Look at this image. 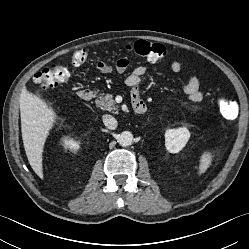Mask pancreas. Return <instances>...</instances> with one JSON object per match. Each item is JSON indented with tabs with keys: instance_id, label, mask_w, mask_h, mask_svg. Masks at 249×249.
Segmentation results:
<instances>
[{
	"instance_id": "cf45deb5",
	"label": "pancreas",
	"mask_w": 249,
	"mask_h": 249,
	"mask_svg": "<svg viewBox=\"0 0 249 249\" xmlns=\"http://www.w3.org/2000/svg\"><path fill=\"white\" fill-rule=\"evenodd\" d=\"M96 106L115 114L118 113V108L115 105L113 95L109 93L99 96L96 100Z\"/></svg>"
}]
</instances>
